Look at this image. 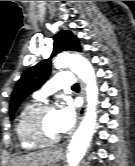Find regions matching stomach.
<instances>
[{
	"label": "stomach",
	"instance_id": "stomach-1",
	"mask_svg": "<svg viewBox=\"0 0 135 166\" xmlns=\"http://www.w3.org/2000/svg\"><path fill=\"white\" fill-rule=\"evenodd\" d=\"M61 157V152L57 149L50 150V155L46 160H38L36 164L32 166H54V163Z\"/></svg>",
	"mask_w": 135,
	"mask_h": 166
}]
</instances>
